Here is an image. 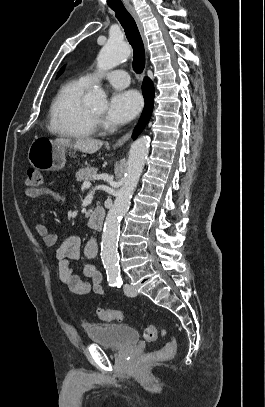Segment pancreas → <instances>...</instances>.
<instances>
[{
	"instance_id": "pancreas-1",
	"label": "pancreas",
	"mask_w": 265,
	"mask_h": 407,
	"mask_svg": "<svg viewBox=\"0 0 265 407\" xmlns=\"http://www.w3.org/2000/svg\"><path fill=\"white\" fill-rule=\"evenodd\" d=\"M96 172H97V169L94 167L82 168L76 173V179L79 182L89 181L96 174Z\"/></svg>"
}]
</instances>
